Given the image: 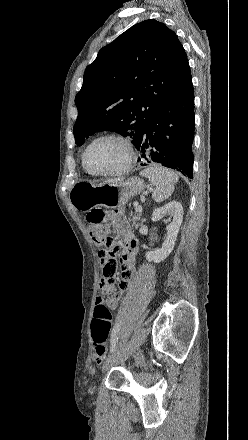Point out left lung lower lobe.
Listing matches in <instances>:
<instances>
[{
	"label": "left lung lower lobe",
	"mask_w": 248,
	"mask_h": 440,
	"mask_svg": "<svg viewBox=\"0 0 248 440\" xmlns=\"http://www.w3.org/2000/svg\"><path fill=\"white\" fill-rule=\"evenodd\" d=\"M194 89L192 81L171 95L145 126L136 148L141 166L156 163L193 178ZM152 147L149 154L145 149Z\"/></svg>",
	"instance_id": "1"
}]
</instances>
